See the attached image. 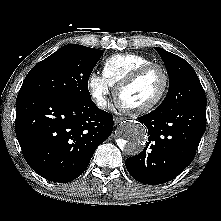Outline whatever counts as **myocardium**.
<instances>
[{"label":"myocardium","mask_w":221,"mask_h":221,"mask_svg":"<svg viewBox=\"0 0 221 221\" xmlns=\"http://www.w3.org/2000/svg\"><path fill=\"white\" fill-rule=\"evenodd\" d=\"M153 69H158L161 71L162 75H163V87L160 91V93L149 103L141 105V106H135V107H130V106H126L121 102V94L122 92L128 88L129 86L133 85L134 83H136L142 76H144L147 72H149L150 70ZM169 84H170V78H169V74L166 70V68L160 64L157 63H151L145 66H142L140 68H138L137 70H135L133 73H131L129 76H127L125 79H123L117 86L115 89V101L117 106L127 112V113H131V114H143L146 112H149L151 110H153L154 108H156L165 98L168 89H169Z\"/></svg>","instance_id":"f54148a6"}]
</instances>
